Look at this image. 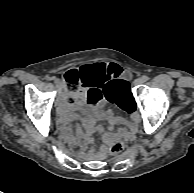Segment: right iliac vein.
Wrapping results in <instances>:
<instances>
[{
  "label": "right iliac vein",
  "mask_w": 194,
  "mask_h": 193,
  "mask_svg": "<svg viewBox=\"0 0 194 193\" xmlns=\"http://www.w3.org/2000/svg\"><path fill=\"white\" fill-rule=\"evenodd\" d=\"M55 83L58 86V89H59V97L61 98V96H62V85L59 82V80H56Z\"/></svg>",
  "instance_id": "obj_1"
}]
</instances>
